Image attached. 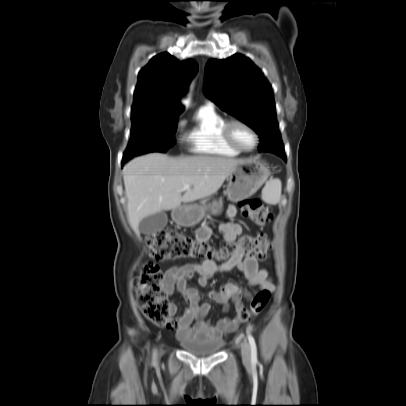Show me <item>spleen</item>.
<instances>
[{
  "instance_id": "1",
  "label": "spleen",
  "mask_w": 406,
  "mask_h": 406,
  "mask_svg": "<svg viewBox=\"0 0 406 406\" xmlns=\"http://www.w3.org/2000/svg\"><path fill=\"white\" fill-rule=\"evenodd\" d=\"M281 181L272 179L266 183L262 190V198L269 204H277L281 199Z\"/></svg>"
}]
</instances>
